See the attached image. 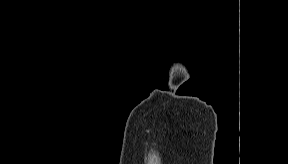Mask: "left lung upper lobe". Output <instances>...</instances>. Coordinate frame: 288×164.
Returning <instances> with one entry per match:
<instances>
[{"label":"left lung upper lobe","instance_id":"1","mask_svg":"<svg viewBox=\"0 0 288 164\" xmlns=\"http://www.w3.org/2000/svg\"><path fill=\"white\" fill-rule=\"evenodd\" d=\"M215 86V82H213L212 84H211V87H214Z\"/></svg>","mask_w":288,"mask_h":164}]
</instances>
